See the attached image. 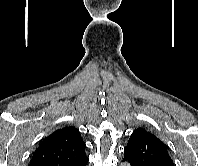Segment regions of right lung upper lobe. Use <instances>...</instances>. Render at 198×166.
Wrapping results in <instances>:
<instances>
[{
	"label": "right lung upper lobe",
	"mask_w": 198,
	"mask_h": 166,
	"mask_svg": "<svg viewBox=\"0 0 198 166\" xmlns=\"http://www.w3.org/2000/svg\"><path fill=\"white\" fill-rule=\"evenodd\" d=\"M85 148L79 130L67 126L42 141L29 166H79L88 161Z\"/></svg>",
	"instance_id": "1"
}]
</instances>
